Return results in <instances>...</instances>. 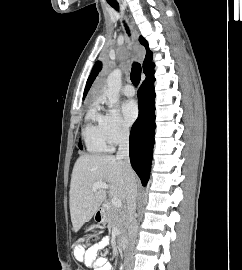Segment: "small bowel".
<instances>
[{"instance_id":"1","label":"small bowel","mask_w":242,"mask_h":270,"mask_svg":"<svg viewBox=\"0 0 242 270\" xmlns=\"http://www.w3.org/2000/svg\"><path fill=\"white\" fill-rule=\"evenodd\" d=\"M109 245V240L104 238L99 243L91 245L84 249L81 245H76L74 248V255L78 260L91 265L94 270H111L112 265L104 257H97L100 250Z\"/></svg>"}]
</instances>
